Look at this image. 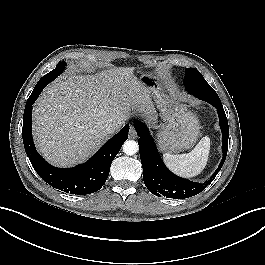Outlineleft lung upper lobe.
Listing matches in <instances>:
<instances>
[{
	"label": "left lung upper lobe",
	"mask_w": 265,
	"mask_h": 265,
	"mask_svg": "<svg viewBox=\"0 0 265 265\" xmlns=\"http://www.w3.org/2000/svg\"><path fill=\"white\" fill-rule=\"evenodd\" d=\"M206 83L201 73L195 68H186L183 84L185 88L190 84Z\"/></svg>",
	"instance_id": "left-lung-upper-lobe-1"
}]
</instances>
